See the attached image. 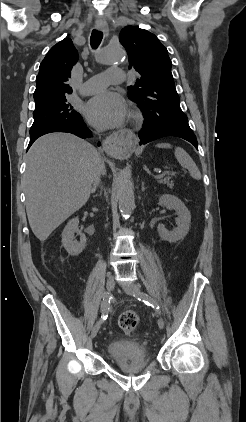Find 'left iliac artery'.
I'll use <instances>...</instances> for the list:
<instances>
[{
	"mask_svg": "<svg viewBox=\"0 0 246 422\" xmlns=\"http://www.w3.org/2000/svg\"><path fill=\"white\" fill-rule=\"evenodd\" d=\"M134 296L137 297L138 300H141L145 304L151 306L158 314L161 313L158 303L146 293L139 292L137 294H134Z\"/></svg>",
	"mask_w": 246,
	"mask_h": 422,
	"instance_id": "1",
	"label": "left iliac artery"
}]
</instances>
